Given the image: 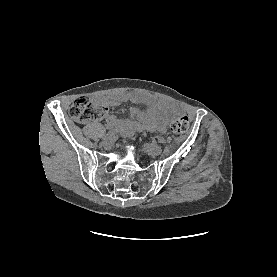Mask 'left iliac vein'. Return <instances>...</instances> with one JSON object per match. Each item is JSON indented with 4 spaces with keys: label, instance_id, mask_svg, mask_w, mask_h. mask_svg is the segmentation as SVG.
<instances>
[{
    "label": "left iliac vein",
    "instance_id": "obj_1",
    "mask_svg": "<svg viewBox=\"0 0 277 277\" xmlns=\"http://www.w3.org/2000/svg\"><path fill=\"white\" fill-rule=\"evenodd\" d=\"M144 149L151 156H157L162 152V148L156 144H145Z\"/></svg>",
    "mask_w": 277,
    "mask_h": 277
}]
</instances>
